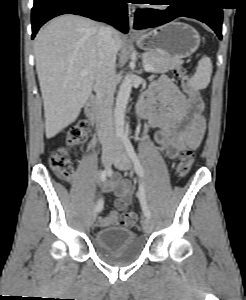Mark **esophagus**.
I'll list each match as a JSON object with an SVG mask.
<instances>
[{"mask_svg": "<svg viewBox=\"0 0 246 300\" xmlns=\"http://www.w3.org/2000/svg\"><path fill=\"white\" fill-rule=\"evenodd\" d=\"M134 14H135V8L133 6H128L129 33L130 34H137V31L133 28V25H134Z\"/></svg>", "mask_w": 246, "mask_h": 300, "instance_id": "34e87169", "label": "esophagus"}]
</instances>
